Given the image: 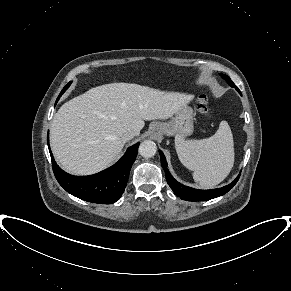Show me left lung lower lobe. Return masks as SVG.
Here are the masks:
<instances>
[{"instance_id": "obj_1", "label": "left lung lower lobe", "mask_w": 291, "mask_h": 291, "mask_svg": "<svg viewBox=\"0 0 291 291\" xmlns=\"http://www.w3.org/2000/svg\"><path fill=\"white\" fill-rule=\"evenodd\" d=\"M159 153H160V157H161V165L165 171L167 183L169 184V186L171 187L173 192L178 197H180L181 199L186 200V201H207V200L219 197L221 195H224L230 189L233 188V186L236 184V182L239 179V176H238L231 184L226 185V186L221 187V188H217V189L198 190V189L190 188L188 186H184V185L180 184L178 181H176L172 177V175L170 174V172L167 168L168 164L166 162V158H165L163 152L159 151Z\"/></svg>"}]
</instances>
